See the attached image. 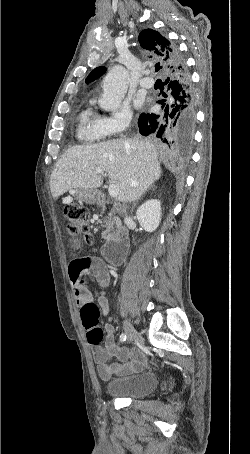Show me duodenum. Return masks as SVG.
<instances>
[{"mask_svg":"<svg viewBox=\"0 0 250 454\" xmlns=\"http://www.w3.org/2000/svg\"><path fill=\"white\" fill-rule=\"evenodd\" d=\"M101 200L104 199L101 197ZM129 242L128 232L120 229L113 235L108 242L102 247L104 259L111 265H121L124 260Z\"/></svg>","mask_w":250,"mask_h":454,"instance_id":"1","label":"duodenum"}]
</instances>
